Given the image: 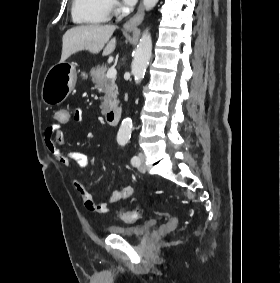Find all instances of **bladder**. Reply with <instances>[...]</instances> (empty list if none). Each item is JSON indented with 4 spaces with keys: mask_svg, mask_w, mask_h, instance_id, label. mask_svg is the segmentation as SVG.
Listing matches in <instances>:
<instances>
[{
    "mask_svg": "<svg viewBox=\"0 0 280 283\" xmlns=\"http://www.w3.org/2000/svg\"><path fill=\"white\" fill-rule=\"evenodd\" d=\"M160 224L159 219H151L141 225H113L107 228V232L129 239L140 240L149 235Z\"/></svg>",
    "mask_w": 280,
    "mask_h": 283,
    "instance_id": "bladder-1",
    "label": "bladder"
}]
</instances>
